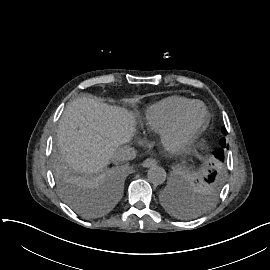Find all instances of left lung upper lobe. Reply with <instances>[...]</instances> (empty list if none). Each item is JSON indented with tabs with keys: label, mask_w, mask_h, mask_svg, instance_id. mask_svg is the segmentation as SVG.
Listing matches in <instances>:
<instances>
[{
	"label": "left lung upper lobe",
	"mask_w": 270,
	"mask_h": 270,
	"mask_svg": "<svg viewBox=\"0 0 270 270\" xmlns=\"http://www.w3.org/2000/svg\"><path fill=\"white\" fill-rule=\"evenodd\" d=\"M222 133L224 135L227 134V131L225 128L222 129ZM220 145L222 148L218 149L215 151L214 153V156L220 160L223 161L224 159V151H223V148L225 149L226 148V142H225V138H223L220 142ZM219 186V180H218V175H217V172L214 171L212 173H210L207 178H205V183L203 184V187L206 189V190H215L217 189V187Z\"/></svg>",
	"instance_id": "obj_1"
}]
</instances>
